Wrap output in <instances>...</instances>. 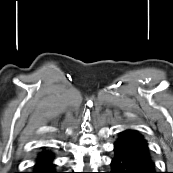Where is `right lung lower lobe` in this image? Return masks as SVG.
Here are the masks:
<instances>
[{
  "label": "right lung lower lobe",
  "mask_w": 173,
  "mask_h": 173,
  "mask_svg": "<svg viewBox=\"0 0 173 173\" xmlns=\"http://www.w3.org/2000/svg\"><path fill=\"white\" fill-rule=\"evenodd\" d=\"M52 152L43 148L38 154L33 171L31 173H58L55 171V165L53 164Z\"/></svg>",
  "instance_id": "1"
}]
</instances>
